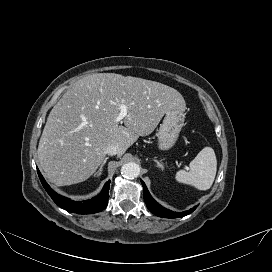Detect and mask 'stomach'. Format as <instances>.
Segmentation results:
<instances>
[{
    "instance_id": "0dacf381",
    "label": "stomach",
    "mask_w": 272,
    "mask_h": 272,
    "mask_svg": "<svg viewBox=\"0 0 272 272\" xmlns=\"http://www.w3.org/2000/svg\"><path fill=\"white\" fill-rule=\"evenodd\" d=\"M185 114L179 109L169 110L165 113L162 124L157 132L158 147L161 150L172 148L184 125Z\"/></svg>"
}]
</instances>
